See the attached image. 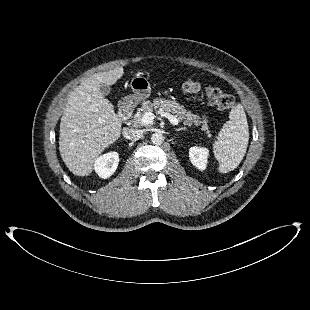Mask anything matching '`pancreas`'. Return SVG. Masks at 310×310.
Instances as JSON below:
<instances>
[{"instance_id": "1", "label": "pancreas", "mask_w": 310, "mask_h": 310, "mask_svg": "<svg viewBox=\"0 0 310 310\" xmlns=\"http://www.w3.org/2000/svg\"><path fill=\"white\" fill-rule=\"evenodd\" d=\"M154 107L159 108V111L173 114V116H175L178 120L183 121L184 125H202L201 130L205 131L208 137L211 136L205 116L200 117L198 115H194L191 111H187L185 107L180 105L178 102L166 99H154L153 103L150 101H145L134 115L132 120L133 126L136 128L143 126L144 124L141 122V119L144 113L152 111Z\"/></svg>"}]
</instances>
